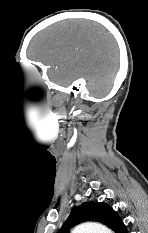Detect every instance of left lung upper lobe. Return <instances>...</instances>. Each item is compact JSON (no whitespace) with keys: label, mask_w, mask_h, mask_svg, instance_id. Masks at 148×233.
<instances>
[{"label":"left lung upper lobe","mask_w":148,"mask_h":233,"mask_svg":"<svg viewBox=\"0 0 148 233\" xmlns=\"http://www.w3.org/2000/svg\"><path fill=\"white\" fill-rule=\"evenodd\" d=\"M96 221L109 227L114 233H126V226L116 211L105 203L85 202L75 206L58 233H69L70 229L82 222Z\"/></svg>","instance_id":"left-lung-upper-lobe-1"}]
</instances>
